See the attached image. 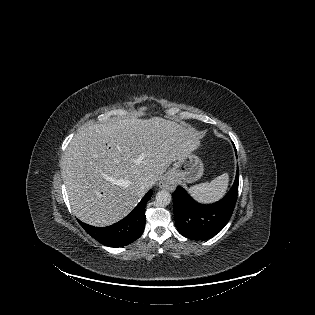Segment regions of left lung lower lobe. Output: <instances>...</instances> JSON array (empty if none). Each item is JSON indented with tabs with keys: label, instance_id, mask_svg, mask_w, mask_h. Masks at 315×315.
<instances>
[{
	"label": "left lung lower lobe",
	"instance_id": "obj_1",
	"mask_svg": "<svg viewBox=\"0 0 315 315\" xmlns=\"http://www.w3.org/2000/svg\"><path fill=\"white\" fill-rule=\"evenodd\" d=\"M239 171L229 192L218 202L202 205L178 186L173 194L177 230L186 238L207 240L218 234L229 221L238 195Z\"/></svg>",
	"mask_w": 315,
	"mask_h": 315
}]
</instances>
